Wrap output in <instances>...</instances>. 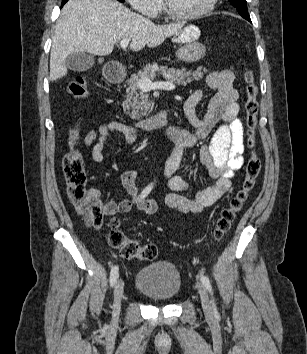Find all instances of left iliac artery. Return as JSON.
I'll return each instance as SVG.
<instances>
[{"label":"left iliac artery","instance_id":"obj_1","mask_svg":"<svg viewBox=\"0 0 307 354\" xmlns=\"http://www.w3.org/2000/svg\"><path fill=\"white\" fill-rule=\"evenodd\" d=\"M200 280L203 283V285L206 287V289L209 291V293L212 295V306H213V310L216 311V305H215V302L213 299L212 286H211L209 278L203 274H200Z\"/></svg>","mask_w":307,"mask_h":354}]
</instances>
